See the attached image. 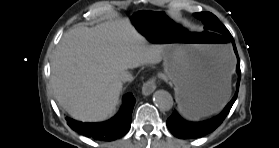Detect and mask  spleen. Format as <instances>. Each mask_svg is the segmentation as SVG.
I'll return each mask as SVG.
<instances>
[{"label":"spleen","mask_w":279,"mask_h":148,"mask_svg":"<svg viewBox=\"0 0 279 148\" xmlns=\"http://www.w3.org/2000/svg\"><path fill=\"white\" fill-rule=\"evenodd\" d=\"M222 55H223V57H224V59H226L227 57H228V52H227V50H224V51H222ZM233 64H234V62H233ZM233 64H232V66H233ZM230 81H228L227 83H226V86H225V88H224V94L227 96V99L229 98V96H230Z\"/></svg>","instance_id":"3e777b00"}]
</instances>
